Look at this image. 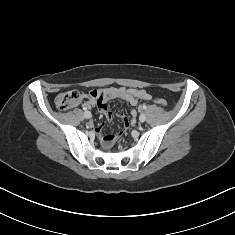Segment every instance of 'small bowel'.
Wrapping results in <instances>:
<instances>
[{
  "mask_svg": "<svg viewBox=\"0 0 235 235\" xmlns=\"http://www.w3.org/2000/svg\"><path fill=\"white\" fill-rule=\"evenodd\" d=\"M111 99H121L129 103L131 106H135L139 100L150 101L152 96L143 89L137 88H125V87H109L104 89L92 90L84 98V107L91 108L97 106L99 111L103 113L107 121L110 122L112 119V111L108 107V101ZM130 114L132 117L137 115L136 109H131ZM123 116L122 114H120ZM104 124L100 125H89V129L92 132L97 133L100 136L101 141L104 143L105 136L102 135Z\"/></svg>",
  "mask_w": 235,
  "mask_h": 235,
  "instance_id": "small-bowel-1",
  "label": "small bowel"
}]
</instances>
